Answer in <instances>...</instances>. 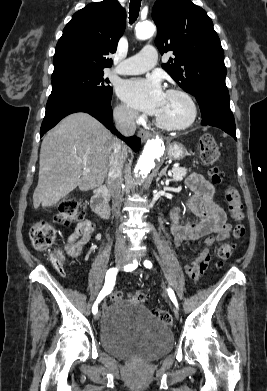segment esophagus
Returning <instances> with one entry per match:
<instances>
[{
	"label": "esophagus",
	"instance_id": "34e87169",
	"mask_svg": "<svg viewBox=\"0 0 267 391\" xmlns=\"http://www.w3.org/2000/svg\"><path fill=\"white\" fill-rule=\"evenodd\" d=\"M150 136V133L146 130L141 129L139 131V137L141 138L142 141H146Z\"/></svg>",
	"mask_w": 267,
	"mask_h": 391
}]
</instances>
